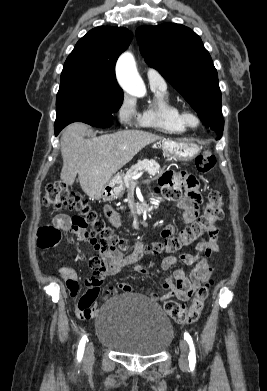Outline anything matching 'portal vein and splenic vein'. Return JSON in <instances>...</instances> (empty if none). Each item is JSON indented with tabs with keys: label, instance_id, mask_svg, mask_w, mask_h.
<instances>
[{
	"label": "portal vein and splenic vein",
	"instance_id": "18ae733b",
	"mask_svg": "<svg viewBox=\"0 0 267 391\" xmlns=\"http://www.w3.org/2000/svg\"><path fill=\"white\" fill-rule=\"evenodd\" d=\"M142 175V172L138 173L136 176L133 177V179H137Z\"/></svg>",
	"mask_w": 267,
	"mask_h": 391
}]
</instances>
